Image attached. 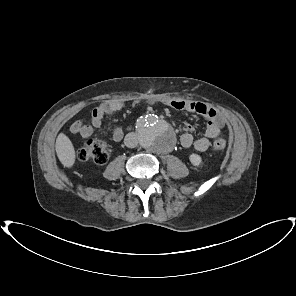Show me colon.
I'll return each mask as SVG.
<instances>
[{"label":"colon","mask_w":296,"mask_h":296,"mask_svg":"<svg viewBox=\"0 0 296 296\" xmlns=\"http://www.w3.org/2000/svg\"><path fill=\"white\" fill-rule=\"evenodd\" d=\"M226 147L227 141L222 138L216 139L212 144L214 151H222ZM77 157L81 161L105 164L109 160L110 151L103 140L90 138L85 140L81 148L77 151Z\"/></svg>","instance_id":"5ec220e1"}]
</instances>
